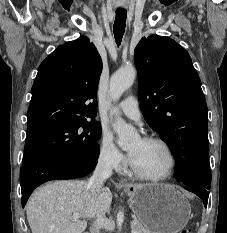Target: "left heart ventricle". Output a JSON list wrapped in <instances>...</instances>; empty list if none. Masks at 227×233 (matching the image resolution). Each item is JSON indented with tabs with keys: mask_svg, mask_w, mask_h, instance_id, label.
<instances>
[{
	"mask_svg": "<svg viewBox=\"0 0 227 233\" xmlns=\"http://www.w3.org/2000/svg\"><path fill=\"white\" fill-rule=\"evenodd\" d=\"M128 152L132 163L146 174L162 175L169 169V155L159 144L138 139L131 143Z\"/></svg>",
	"mask_w": 227,
	"mask_h": 233,
	"instance_id": "obj_1",
	"label": "left heart ventricle"
}]
</instances>
